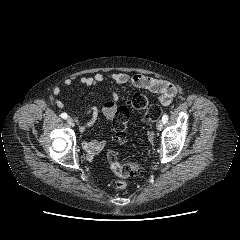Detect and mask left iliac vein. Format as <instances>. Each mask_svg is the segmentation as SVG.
Segmentation results:
<instances>
[{
  "label": "left iliac vein",
  "instance_id": "left-iliac-vein-1",
  "mask_svg": "<svg viewBox=\"0 0 240 240\" xmlns=\"http://www.w3.org/2000/svg\"><path fill=\"white\" fill-rule=\"evenodd\" d=\"M163 125H164L163 121H162V120H159V121L157 122V124H156L157 130H158V131H161V130L163 129Z\"/></svg>",
  "mask_w": 240,
  "mask_h": 240
}]
</instances>
